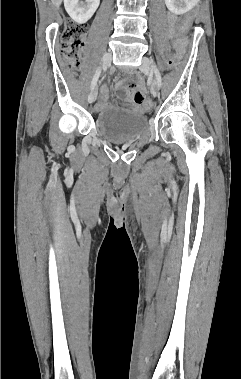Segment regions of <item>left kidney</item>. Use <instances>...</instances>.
I'll return each instance as SVG.
<instances>
[{
  "instance_id": "obj_1",
  "label": "left kidney",
  "mask_w": 241,
  "mask_h": 379,
  "mask_svg": "<svg viewBox=\"0 0 241 379\" xmlns=\"http://www.w3.org/2000/svg\"><path fill=\"white\" fill-rule=\"evenodd\" d=\"M199 0H165L167 8L176 15L190 11Z\"/></svg>"
}]
</instances>
